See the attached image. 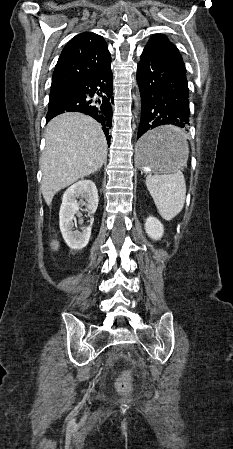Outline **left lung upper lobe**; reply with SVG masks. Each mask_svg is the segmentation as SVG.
<instances>
[{"label":"left lung upper lobe","instance_id":"obj_1","mask_svg":"<svg viewBox=\"0 0 233 449\" xmlns=\"http://www.w3.org/2000/svg\"><path fill=\"white\" fill-rule=\"evenodd\" d=\"M145 48L186 71L185 64L177 47L165 35L154 34L151 36Z\"/></svg>","mask_w":233,"mask_h":449}]
</instances>
